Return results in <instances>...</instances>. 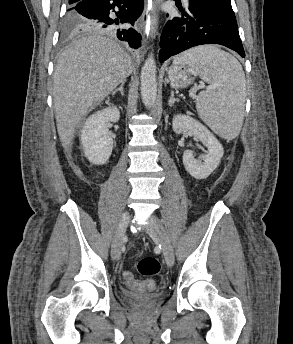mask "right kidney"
Wrapping results in <instances>:
<instances>
[{"label": "right kidney", "instance_id": "1", "mask_svg": "<svg viewBox=\"0 0 293 344\" xmlns=\"http://www.w3.org/2000/svg\"><path fill=\"white\" fill-rule=\"evenodd\" d=\"M120 111L116 106L99 110L86 119L81 130V144L85 157L94 165L105 164L112 153L113 139L108 122H118Z\"/></svg>", "mask_w": 293, "mask_h": 344}]
</instances>
